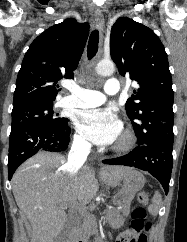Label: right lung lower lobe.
Returning <instances> with one entry per match:
<instances>
[{
  "label": "right lung lower lobe",
  "instance_id": "98d812e1",
  "mask_svg": "<svg viewBox=\"0 0 187 242\" xmlns=\"http://www.w3.org/2000/svg\"><path fill=\"white\" fill-rule=\"evenodd\" d=\"M70 128L26 126L11 129L9 137V180L26 159L39 151L62 152L68 148Z\"/></svg>",
  "mask_w": 187,
  "mask_h": 242
}]
</instances>
